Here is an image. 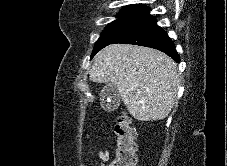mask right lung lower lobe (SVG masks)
Segmentation results:
<instances>
[{"mask_svg": "<svg viewBox=\"0 0 227 166\" xmlns=\"http://www.w3.org/2000/svg\"><path fill=\"white\" fill-rule=\"evenodd\" d=\"M114 43H127L154 48L166 53L176 62H180L172 40L168 37L167 33L156 24V19L152 16L110 44Z\"/></svg>", "mask_w": 227, "mask_h": 166, "instance_id": "1", "label": "right lung lower lobe"}]
</instances>
